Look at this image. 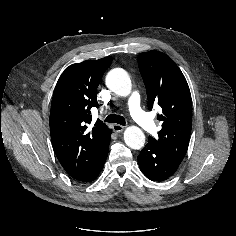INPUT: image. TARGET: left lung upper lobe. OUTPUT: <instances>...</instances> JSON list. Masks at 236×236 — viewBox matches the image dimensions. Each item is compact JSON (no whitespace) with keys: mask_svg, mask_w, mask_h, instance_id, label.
Returning a JSON list of instances; mask_svg holds the SVG:
<instances>
[{"mask_svg":"<svg viewBox=\"0 0 236 236\" xmlns=\"http://www.w3.org/2000/svg\"><path fill=\"white\" fill-rule=\"evenodd\" d=\"M138 65L146 87L149 110L154 103L162 108V113L157 115L162 121L158 139L149 136L148 141L182 161L192 128V100L187 81L172 59L159 51L141 53Z\"/></svg>","mask_w":236,"mask_h":236,"instance_id":"5c2ea615","label":"left lung upper lobe"}]
</instances>
